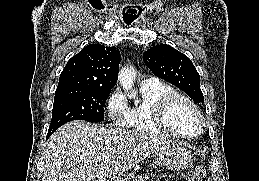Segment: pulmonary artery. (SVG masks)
Instances as JSON below:
<instances>
[{"label":"pulmonary artery","instance_id":"1","mask_svg":"<svg viewBox=\"0 0 259 181\" xmlns=\"http://www.w3.org/2000/svg\"><path fill=\"white\" fill-rule=\"evenodd\" d=\"M155 81H157L156 78H154V77H149V78L144 79V80L142 81V84L152 83V82H155Z\"/></svg>","mask_w":259,"mask_h":181}]
</instances>
